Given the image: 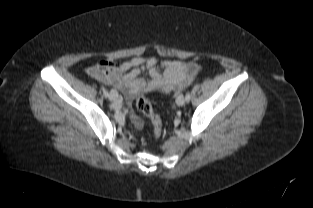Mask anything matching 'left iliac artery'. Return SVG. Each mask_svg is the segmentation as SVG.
I'll use <instances>...</instances> for the list:
<instances>
[{"label":"left iliac artery","instance_id":"left-iliac-artery-1","mask_svg":"<svg viewBox=\"0 0 313 208\" xmlns=\"http://www.w3.org/2000/svg\"><path fill=\"white\" fill-rule=\"evenodd\" d=\"M190 98H191V96H190V93L188 92V93L186 94V96H185V99H186V101H189Z\"/></svg>","mask_w":313,"mask_h":208}]
</instances>
